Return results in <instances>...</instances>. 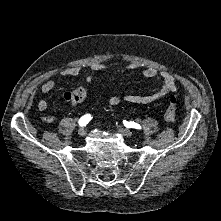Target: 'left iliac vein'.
<instances>
[{
  "label": "left iliac vein",
  "mask_w": 221,
  "mask_h": 221,
  "mask_svg": "<svg viewBox=\"0 0 221 221\" xmlns=\"http://www.w3.org/2000/svg\"><path fill=\"white\" fill-rule=\"evenodd\" d=\"M118 131L124 135V136H127V137H130L133 135V133L129 130V129H126V128H119Z\"/></svg>",
  "instance_id": "obj_1"
}]
</instances>
